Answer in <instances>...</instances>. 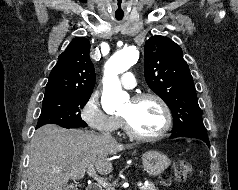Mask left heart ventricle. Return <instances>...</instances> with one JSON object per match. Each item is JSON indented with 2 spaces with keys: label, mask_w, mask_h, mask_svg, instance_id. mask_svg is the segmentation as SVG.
Wrapping results in <instances>:
<instances>
[{
  "label": "left heart ventricle",
  "mask_w": 238,
  "mask_h": 190,
  "mask_svg": "<svg viewBox=\"0 0 238 190\" xmlns=\"http://www.w3.org/2000/svg\"><path fill=\"white\" fill-rule=\"evenodd\" d=\"M120 115L126 117L132 128L138 133L152 135L157 133L164 125V114L154 100L132 102L129 100Z\"/></svg>",
  "instance_id": "obj_1"
}]
</instances>
